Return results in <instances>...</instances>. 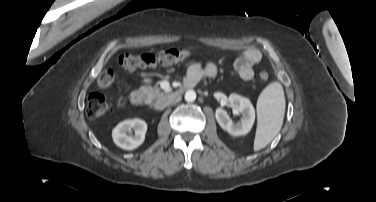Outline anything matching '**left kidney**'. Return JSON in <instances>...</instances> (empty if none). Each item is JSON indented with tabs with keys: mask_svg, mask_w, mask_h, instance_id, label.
Wrapping results in <instances>:
<instances>
[{
	"mask_svg": "<svg viewBox=\"0 0 376 202\" xmlns=\"http://www.w3.org/2000/svg\"><path fill=\"white\" fill-rule=\"evenodd\" d=\"M229 105L242 115L241 121L234 123L228 113L217 108L215 117L223 130L234 136L246 135L252 128L255 121V109L250 100L238 94H231L228 98Z\"/></svg>",
	"mask_w": 376,
	"mask_h": 202,
	"instance_id": "5707ae66",
	"label": "left kidney"
}]
</instances>
